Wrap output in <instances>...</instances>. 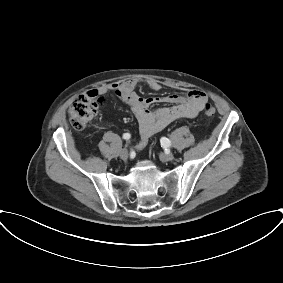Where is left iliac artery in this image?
Returning <instances> with one entry per match:
<instances>
[{"label": "left iliac artery", "mask_w": 283, "mask_h": 283, "mask_svg": "<svg viewBox=\"0 0 283 283\" xmlns=\"http://www.w3.org/2000/svg\"><path fill=\"white\" fill-rule=\"evenodd\" d=\"M160 142H161V145L163 146V147H170L171 146V141L168 139V138H166V137H162L161 139H160Z\"/></svg>", "instance_id": "obj_1"}]
</instances>
